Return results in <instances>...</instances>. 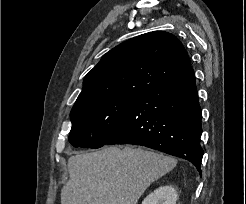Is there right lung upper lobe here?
I'll list each match as a JSON object with an SVG mask.
<instances>
[{"instance_id":"cb5924a9","label":"right lung upper lobe","mask_w":246,"mask_h":204,"mask_svg":"<svg viewBox=\"0 0 246 204\" xmlns=\"http://www.w3.org/2000/svg\"><path fill=\"white\" fill-rule=\"evenodd\" d=\"M189 67L187 52L174 35L149 32L107 52L85 76L75 104L108 96L141 95Z\"/></svg>"}]
</instances>
